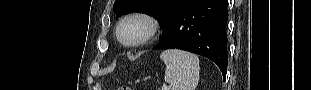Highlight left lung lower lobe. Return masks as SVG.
I'll list each match as a JSON object with an SVG mask.
<instances>
[{"mask_svg":"<svg viewBox=\"0 0 311 90\" xmlns=\"http://www.w3.org/2000/svg\"><path fill=\"white\" fill-rule=\"evenodd\" d=\"M227 19V0H198L178 16L152 49L176 48L205 56L216 63L226 77Z\"/></svg>","mask_w":311,"mask_h":90,"instance_id":"left-lung-lower-lobe-1","label":"left lung lower lobe"}]
</instances>
